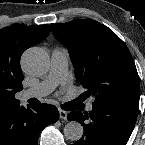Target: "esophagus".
<instances>
[{"label":"esophagus","mask_w":145,"mask_h":145,"mask_svg":"<svg viewBox=\"0 0 145 145\" xmlns=\"http://www.w3.org/2000/svg\"><path fill=\"white\" fill-rule=\"evenodd\" d=\"M59 117H60V119L66 120L67 119V112L62 110V109H59Z\"/></svg>","instance_id":"34e87169"}]
</instances>
